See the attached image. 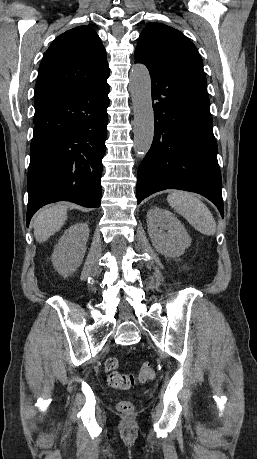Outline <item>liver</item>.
Returning a JSON list of instances; mask_svg holds the SVG:
<instances>
[{
  "label": "liver",
  "mask_w": 257,
  "mask_h": 459,
  "mask_svg": "<svg viewBox=\"0 0 257 459\" xmlns=\"http://www.w3.org/2000/svg\"><path fill=\"white\" fill-rule=\"evenodd\" d=\"M67 207L56 204L40 210L33 220L34 236L37 242L43 243L65 224Z\"/></svg>",
  "instance_id": "obj_1"
}]
</instances>
